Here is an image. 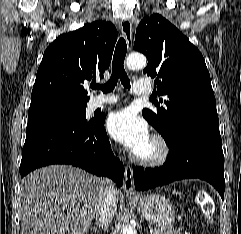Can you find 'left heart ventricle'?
I'll return each mask as SVG.
<instances>
[{
    "instance_id": "obj_1",
    "label": "left heart ventricle",
    "mask_w": 241,
    "mask_h": 234,
    "mask_svg": "<svg viewBox=\"0 0 241 234\" xmlns=\"http://www.w3.org/2000/svg\"><path fill=\"white\" fill-rule=\"evenodd\" d=\"M155 152V146L150 140L149 143L146 145V147L137 155L142 157H149Z\"/></svg>"
}]
</instances>
